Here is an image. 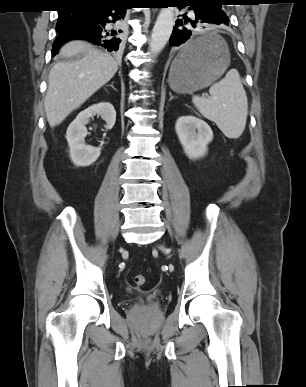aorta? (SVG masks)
<instances>
[{
  "label": "aorta",
  "mask_w": 306,
  "mask_h": 387,
  "mask_svg": "<svg viewBox=\"0 0 306 387\" xmlns=\"http://www.w3.org/2000/svg\"><path fill=\"white\" fill-rule=\"evenodd\" d=\"M174 27V9L173 7H163L155 25L152 30L151 40L149 43V53L152 58L158 56V54L164 49L166 46L172 30Z\"/></svg>",
  "instance_id": "obj_1"
}]
</instances>
